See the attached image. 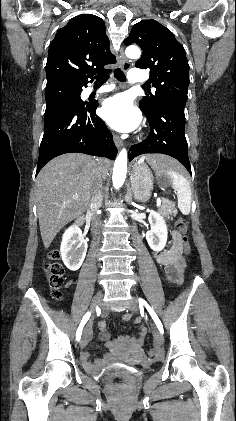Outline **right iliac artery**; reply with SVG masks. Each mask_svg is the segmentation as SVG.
I'll list each match as a JSON object with an SVG mask.
<instances>
[{"mask_svg": "<svg viewBox=\"0 0 236 421\" xmlns=\"http://www.w3.org/2000/svg\"><path fill=\"white\" fill-rule=\"evenodd\" d=\"M90 316H91V313H90V312H87V313L83 316V318H82V320H81V323H80V325H79V327H78V329H77V331H76V340H77V341H79V340H80V338H81V334H82V330H83V327H84V325L86 324V322L89 320Z\"/></svg>", "mask_w": 236, "mask_h": 421, "instance_id": "1", "label": "right iliac artery"}]
</instances>
